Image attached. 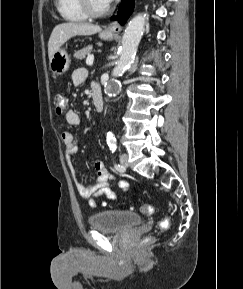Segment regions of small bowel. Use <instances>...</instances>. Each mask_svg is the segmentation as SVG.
<instances>
[{"mask_svg":"<svg viewBox=\"0 0 243 289\" xmlns=\"http://www.w3.org/2000/svg\"><path fill=\"white\" fill-rule=\"evenodd\" d=\"M87 70L84 68H78L72 73V83L74 86L81 85L87 78ZM97 87V86H94ZM67 123L71 126H77L80 124V116L75 110H68L65 114ZM63 144L65 146V154L69 161H71L79 153V145L76 141L75 134L71 131H65L61 135ZM94 169L97 173V178L90 184H82L77 182L76 186L81 197L91 207H96V197L105 195L109 199L116 200V195L110 189V182L115 181V176L108 171L106 166L101 160L94 162ZM74 173V169L72 168ZM117 186L123 191L127 192L129 189V183L125 180H117Z\"/></svg>","mask_w":243,"mask_h":289,"instance_id":"1","label":"small bowel"}]
</instances>
